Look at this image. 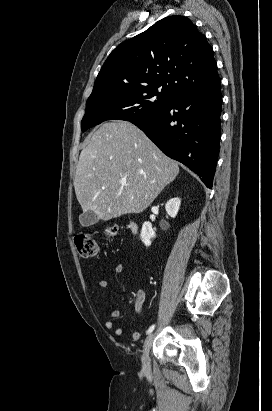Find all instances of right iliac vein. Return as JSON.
<instances>
[{
	"instance_id": "obj_1",
	"label": "right iliac vein",
	"mask_w": 272,
	"mask_h": 411,
	"mask_svg": "<svg viewBox=\"0 0 272 411\" xmlns=\"http://www.w3.org/2000/svg\"><path fill=\"white\" fill-rule=\"evenodd\" d=\"M154 334L151 333L145 340L144 345H143V351H142V367L145 371H148L150 369V357H149V352L152 346Z\"/></svg>"
}]
</instances>
